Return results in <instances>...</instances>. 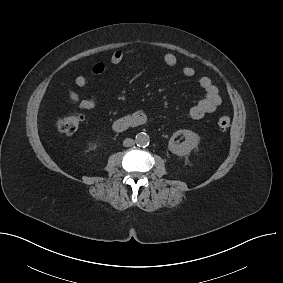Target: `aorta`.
<instances>
[{
    "mask_svg": "<svg viewBox=\"0 0 283 283\" xmlns=\"http://www.w3.org/2000/svg\"><path fill=\"white\" fill-rule=\"evenodd\" d=\"M135 142L140 147H146L149 145L150 139L146 133H138L136 135Z\"/></svg>",
    "mask_w": 283,
    "mask_h": 283,
    "instance_id": "1",
    "label": "aorta"
}]
</instances>
